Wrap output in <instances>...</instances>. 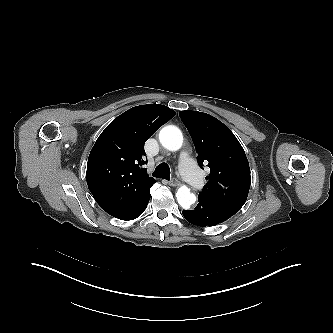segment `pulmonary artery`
<instances>
[{"label":"pulmonary artery","instance_id":"1","mask_svg":"<svg viewBox=\"0 0 333 333\" xmlns=\"http://www.w3.org/2000/svg\"><path fill=\"white\" fill-rule=\"evenodd\" d=\"M179 168L184 178L195 189H200L203 186L204 183L203 178L194 160L185 152L180 155Z\"/></svg>","mask_w":333,"mask_h":333}]
</instances>
